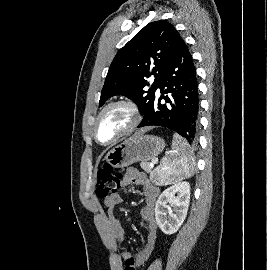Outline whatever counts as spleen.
Here are the masks:
<instances>
[{
  "label": "spleen",
  "instance_id": "obj_1",
  "mask_svg": "<svg viewBox=\"0 0 267 270\" xmlns=\"http://www.w3.org/2000/svg\"><path fill=\"white\" fill-rule=\"evenodd\" d=\"M171 148L157 171L159 184L162 185L177 183L194 174V158L188 143L180 135L174 134Z\"/></svg>",
  "mask_w": 267,
  "mask_h": 270
}]
</instances>
